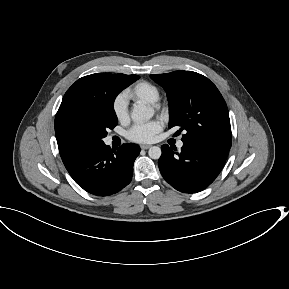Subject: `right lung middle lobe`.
<instances>
[{
  "label": "right lung middle lobe",
  "instance_id": "1",
  "mask_svg": "<svg viewBox=\"0 0 289 289\" xmlns=\"http://www.w3.org/2000/svg\"><path fill=\"white\" fill-rule=\"evenodd\" d=\"M139 78L137 75L116 74L95 96L94 105L87 111L64 118L57 132L59 147L71 161H76L104 144L107 130L118 124L113 103L120 91Z\"/></svg>",
  "mask_w": 289,
  "mask_h": 289
}]
</instances>
